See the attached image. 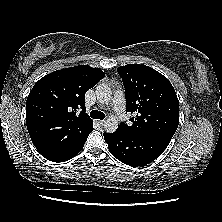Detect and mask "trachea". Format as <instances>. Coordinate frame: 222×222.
Wrapping results in <instances>:
<instances>
[{"mask_svg":"<svg viewBox=\"0 0 222 222\" xmlns=\"http://www.w3.org/2000/svg\"><path fill=\"white\" fill-rule=\"evenodd\" d=\"M90 116L93 119H100V120H103L105 118V114L103 112L97 111V110H92L90 113Z\"/></svg>","mask_w":222,"mask_h":222,"instance_id":"obj_1","label":"trachea"}]
</instances>
